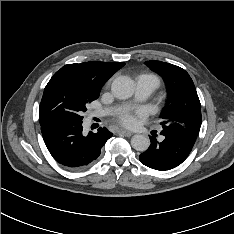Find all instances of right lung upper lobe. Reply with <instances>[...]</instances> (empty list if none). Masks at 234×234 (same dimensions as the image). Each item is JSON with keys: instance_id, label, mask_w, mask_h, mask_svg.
<instances>
[{"instance_id": "1", "label": "right lung upper lobe", "mask_w": 234, "mask_h": 234, "mask_svg": "<svg viewBox=\"0 0 234 234\" xmlns=\"http://www.w3.org/2000/svg\"><path fill=\"white\" fill-rule=\"evenodd\" d=\"M124 63L122 62H84L68 64L57 71L53 77L65 79L90 91H99L102 85Z\"/></svg>"}]
</instances>
